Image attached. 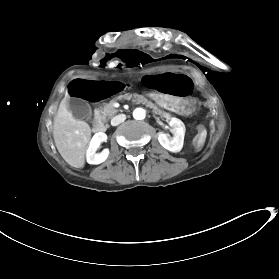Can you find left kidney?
<instances>
[{
	"mask_svg": "<svg viewBox=\"0 0 279 279\" xmlns=\"http://www.w3.org/2000/svg\"><path fill=\"white\" fill-rule=\"evenodd\" d=\"M169 125L173 137L160 131L158 132V141L166 150L173 153H179L183 148L185 126L182 121L176 118H172Z\"/></svg>",
	"mask_w": 279,
	"mask_h": 279,
	"instance_id": "1",
	"label": "left kidney"
}]
</instances>
